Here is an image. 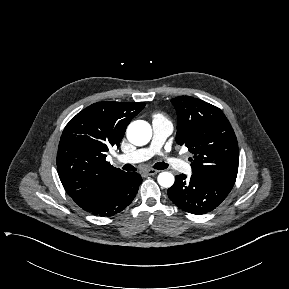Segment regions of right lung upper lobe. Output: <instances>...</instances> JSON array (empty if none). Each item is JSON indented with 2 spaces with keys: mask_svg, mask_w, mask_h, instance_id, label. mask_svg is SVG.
<instances>
[{
  "mask_svg": "<svg viewBox=\"0 0 289 289\" xmlns=\"http://www.w3.org/2000/svg\"><path fill=\"white\" fill-rule=\"evenodd\" d=\"M145 103H94L74 116L63 130L57 170L67 194L81 208L106 197L126 175L106 161L110 146L119 147L130 121Z\"/></svg>",
  "mask_w": 289,
  "mask_h": 289,
  "instance_id": "obj_1",
  "label": "right lung upper lobe"
}]
</instances>
